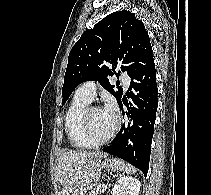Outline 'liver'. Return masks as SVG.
Segmentation results:
<instances>
[{"instance_id": "6515ba94", "label": "liver", "mask_w": 211, "mask_h": 195, "mask_svg": "<svg viewBox=\"0 0 211 195\" xmlns=\"http://www.w3.org/2000/svg\"><path fill=\"white\" fill-rule=\"evenodd\" d=\"M106 156L103 152L70 150L60 155L56 165V180L60 191L56 195H80L91 186L88 177Z\"/></svg>"}]
</instances>
